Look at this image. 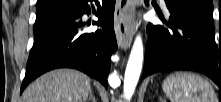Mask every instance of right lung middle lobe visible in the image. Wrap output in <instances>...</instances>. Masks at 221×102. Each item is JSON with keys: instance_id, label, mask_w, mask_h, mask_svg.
Masks as SVG:
<instances>
[{"instance_id": "dd1d6c3e", "label": "right lung middle lobe", "mask_w": 221, "mask_h": 102, "mask_svg": "<svg viewBox=\"0 0 221 102\" xmlns=\"http://www.w3.org/2000/svg\"><path fill=\"white\" fill-rule=\"evenodd\" d=\"M76 5L77 0H56L49 6L37 8L34 33L58 17L73 11Z\"/></svg>"}]
</instances>
